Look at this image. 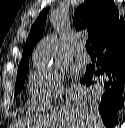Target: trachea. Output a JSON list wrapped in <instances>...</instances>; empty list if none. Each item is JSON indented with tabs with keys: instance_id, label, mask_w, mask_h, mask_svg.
<instances>
[{
	"instance_id": "1",
	"label": "trachea",
	"mask_w": 125,
	"mask_h": 128,
	"mask_svg": "<svg viewBox=\"0 0 125 128\" xmlns=\"http://www.w3.org/2000/svg\"><path fill=\"white\" fill-rule=\"evenodd\" d=\"M85 47H86L87 52H93V50H92V48L90 46V42L89 41L86 42Z\"/></svg>"
}]
</instances>
